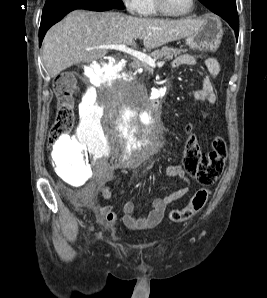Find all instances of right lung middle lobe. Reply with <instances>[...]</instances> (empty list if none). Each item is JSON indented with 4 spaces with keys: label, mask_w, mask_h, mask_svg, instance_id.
Returning <instances> with one entry per match:
<instances>
[{
    "label": "right lung middle lobe",
    "mask_w": 267,
    "mask_h": 298,
    "mask_svg": "<svg viewBox=\"0 0 267 298\" xmlns=\"http://www.w3.org/2000/svg\"><path fill=\"white\" fill-rule=\"evenodd\" d=\"M65 0H46L44 9H43V13L47 12L48 10H50L52 7H54L55 5H57L60 2H63ZM100 3L103 4H109L112 5L114 8H118V9H124V4L122 2V0H97Z\"/></svg>",
    "instance_id": "obj_1"
}]
</instances>
